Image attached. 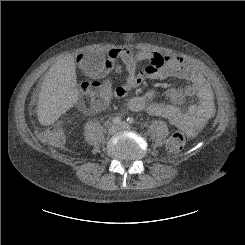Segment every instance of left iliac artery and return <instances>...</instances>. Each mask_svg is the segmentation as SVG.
<instances>
[{
    "label": "left iliac artery",
    "instance_id": "left-iliac-artery-1",
    "mask_svg": "<svg viewBox=\"0 0 245 245\" xmlns=\"http://www.w3.org/2000/svg\"><path fill=\"white\" fill-rule=\"evenodd\" d=\"M127 122H128L129 124H133V123L135 122V119H134L133 117H128V118H127Z\"/></svg>",
    "mask_w": 245,
    "mask_h": 245
}]
</instances>
